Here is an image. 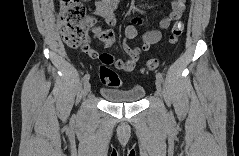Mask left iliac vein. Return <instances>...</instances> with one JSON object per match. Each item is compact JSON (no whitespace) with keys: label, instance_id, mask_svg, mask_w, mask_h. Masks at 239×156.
<instances>
[{"label":"left iliac vein","instance_id":"left-iliac-vein-1","mask_svg":"<svg viewBox=\"0 0 239 156\" xmlns=\"http://www.w3.org/2000/svg\"><path fill=\"white\" fill-rule=\"evenodd\" d=\"M156 93L158 96H162V87H161V82L159 80H156Z\"/></svg>","mask_w":239,"mask_h":156}]
</instances>
